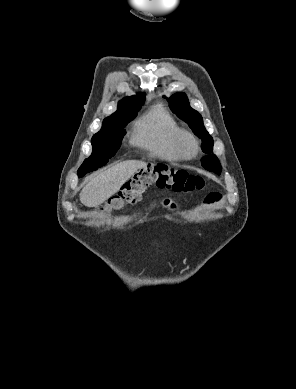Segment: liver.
I'll return each mask as SVG.
<instances>
[{
  "label": "liver",
  "instance_id": "liver-1",
  "mask_svg": "<svg viewBox=\"0 0 296 389\" xmlns=\"http://www.w3.org/2000/svg\"><path fill=\"white\" fill-rule=\"evenodd\" d=\"M146 164L138 160L123 161L91 177L80 193V201L87 207L101 205Z\"/></svg>",
  "mask_w": 296,
  "mask_h": 389
}]
</instances>
